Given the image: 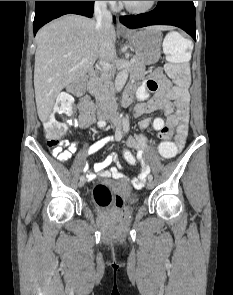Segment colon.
<instances>
[{
  "label": "colon",
  "instance_id": "obj_1",
  "mask_svg": "<svg viewBox=\"0 0 233 295\" xmlns=\"http://www.w3.org/2000/svg\"><path fill=\"white\" fill-rule=\"evenodd\" d=\"M163 49L167 59L165 70L174 81L172 90L176 95L183 94L188 91L190 86L189 61L192 43L185 35L171 31L165 37ZM85 86L86 79L80 78L68 86L67 92L61 93L57 97L52 113L44 122L45 135L49 146L60 145L67 130V124L61 118L73 114L71 94H81ZM171 134L172 130L169 127L163 128L159 133V137L164 140L159 145V152L164 158H171L178 152L176 144L169 140ZM123 159L130 166L137 163L136 156L130 150L123 151ZM93 195L96 203L101 207H108L113 202L111 191L102 183L94 187Z\"/></svg>",
  "mask_w": 233,
  "mask_h": 295
}]
</instances>
